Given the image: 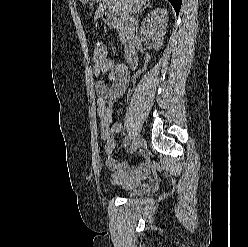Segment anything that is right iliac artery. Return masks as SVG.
I'll return each instance as SVG.
<instances>
[{
    "mask_svg": "<svg viewBox=\"0 0 248 247\" xmlns=\"http://www.w3.org/2000/svg\"><path fill=\"white\" fill-rule=\"evenodd\" d=\"M129 143H130V138H129V135H127L126 138H125V147L127 145H129Z\"/></svg>",
    "mask_w": 248,
    "mask_h": 247,
    "instance_id": "82829eb1",
    "label": "right iliac artery"
}]
</instances>
